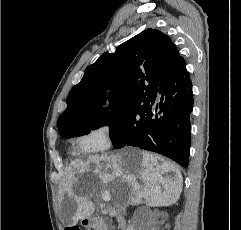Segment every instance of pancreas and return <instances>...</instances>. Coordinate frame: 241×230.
<instances>
[{
    "label": "pancreas",
    "instance_id": "pancreas-1",
    "mask_svg": "<svg viewBox=\"0 0 241 230\" xmlns=\"http://www.w3.org/2000/svg\"><path fill=\"white\" fill-rule=\"evenodd\" d=\"M97 230H105L104 227L102 225H98L97 226Z\"/></svg>",
    "mask_w": 241,
    "mask_h": 230
}]
</instances>
